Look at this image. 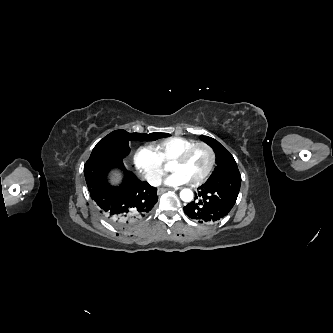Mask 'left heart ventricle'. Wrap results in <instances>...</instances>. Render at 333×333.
I'll list each match as a JSON object with an SVG mask.
<instances>
[{
    "label": "left heart ventricle",
    "instance_id": "left-heart-ventricle-1",
    "mask_svg": "<svg viewBox=\"0 0 333 333\" xmlns=\"http://www.w3.org/2000/svg\"><path fill=\"white\" fill-rule=\"evenodd\" d=\"M210 162L209 152L202 147L194 149L188 158L181 164L171 165V170L185 175L189 182L201 177L208 168Z\"/></svg>",
    "mask_w": 333,
    "mask_h": 333
}]
</instances>
